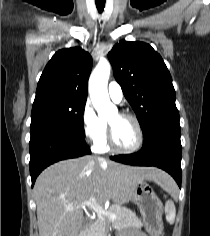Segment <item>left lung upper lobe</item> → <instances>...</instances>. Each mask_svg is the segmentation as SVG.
<instances>
[{"label":"left lung upper lobe","mask_w":210,"mask_h":236,"mask_svg":"<svg viewBox=\"0 0 210 236\" xmlns=\"http://www.w3.org/2000/svg\"><path fill=\"white\" fill-rule=\"evenodd\" d=\"M108 58L144 134L156 124L179 122L171 75L149 44L121 41Z\"/></svg>","instance_id":"left-lung-upper-lobe-1"}]
</instances>
